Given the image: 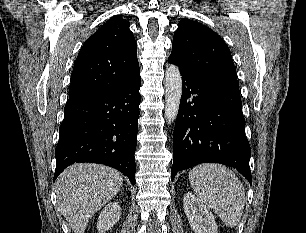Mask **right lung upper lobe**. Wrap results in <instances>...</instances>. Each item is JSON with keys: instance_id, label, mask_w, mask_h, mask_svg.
Instances as JSON below:
<instances>
[{"instance_id": "obj_1", "label": "right lung upper lobe", "mask_w": 306, "mask_h": 233, "mask_svg": "<svg viewBox=\"0 0 306 233\" xmlns=\"http://www.w3.org/2000/svg\"><path fill=\"white\" fill-rule=\"evenodd\" d=\"M129 25L114 16L83 44L72 71L68 104L106 94L140 70Z\"/></svg>"}]
</instances>
